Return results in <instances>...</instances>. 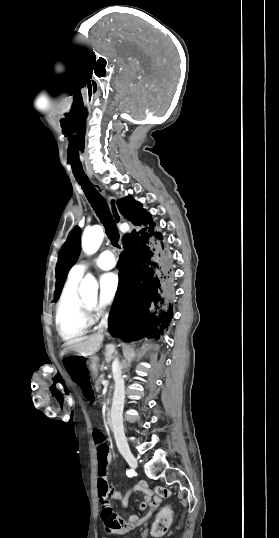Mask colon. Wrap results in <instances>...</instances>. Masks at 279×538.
<instances>
[{"instance_id": "5ec220e1", "label": "colon", "mask_w": 279, "mask_h": 538, "mask_svg": "<svg viewBox=\"0 0 279 538\" xmlns=\"http://www.w3.org/2000/svg\"><path fill=\"white\" fill-rule=\"evenodd\" d=\"M93 439H94L97 458H98V469H97L98 493H99L100 502L102 505V515L106 517H110L114 514L111 503L109 501V484H108L107 474H106L107 461L110 455V447L107 442L105 434L101 430L93 431ZM157 492L162 496L167 495V491L162 488H159ZM166 525H167L166 520L159 521L154 528L155 533L157 534L162 533L163 530L166 528Z\"/></svg>"}]
</instances>
